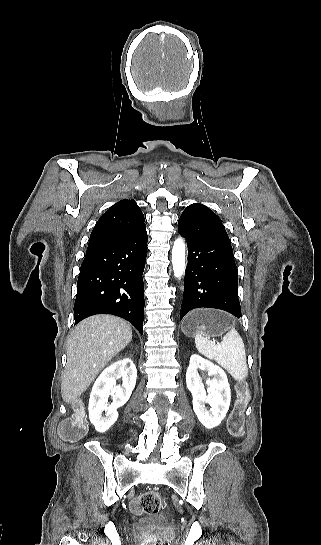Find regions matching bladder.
<instances>
[{
  "mask_svg": "<svg viewBox=\"0 0 321 545\" xmlns=\"http://www.w3.org/2000/svg\"><path fill=\"white\" fill-rule=\"evenodd\" d=\"M159 522V520L157 519H153V518H145L142 520L141 524L142 525H153V524H157Z\"/></svg>",
  "mask_w": 321,
  "mask_h": 545,
  "instance_id": "bladder-1",
  "label": "bladder"
}]
</instances>
